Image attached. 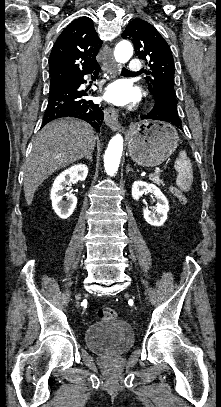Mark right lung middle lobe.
Masks as SVG:
<instances>
[{"instance_id":"obj_1","label":"right lung middle lobe","mask_w":221,"mask_h":407,"mask_svg":"<svg viewBox=\"0 0 221 407\" xmlns=\"http://www.w3.org/2000/svg\"><path fill=\"white\" fill-rule=\"evenodd\" d=\"M54 86H52L51 84H50V88H53Z\"/></svg>"}]
</instances>
